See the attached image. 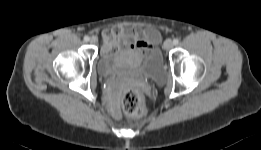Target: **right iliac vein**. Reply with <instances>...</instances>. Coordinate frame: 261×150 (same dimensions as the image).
Returning a JSON list of instances; mask_svg holds the SVG:
<instances>
[{"label":"right iliac vein","instance_id":"1","mask_svg":"<svg viewBox=\"0 0 261 150\" xmlns=\"http://www.w3.org/2000/svg\"><path fill=\"white\" fill-rule=\"evenodd\" d=\"M97 41H98V39H97L96 36H92V37L90 38V42L93 43V44L97 43Z\"/></svg>","mask_w":261,"mask_h":150}]
</instances>
